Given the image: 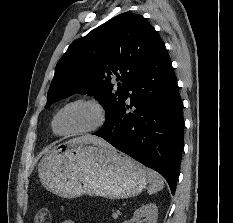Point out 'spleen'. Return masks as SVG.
<instances>
[{"label":"spleen","instance_id":"obj_1","mask_svg":"<svg viewBox=\"0 0 233 223\" xmlns=\"http://www.w3.org/2000/svg\"><path fill=\"white\" fill-rule=\"evenodd\" d=\"M147 177L149 181L148 193H156V191H160L164 187V181L154 169H147Z\"/></svg>","mask_w":233,"mask_h":223}]
</instances>
